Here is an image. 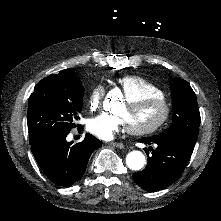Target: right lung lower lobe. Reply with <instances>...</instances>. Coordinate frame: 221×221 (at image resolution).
I'll use <instances>...</instances> for the list:
<instances>
[{
    "label": "right lung lower lobe",
    "instance_id": "98d812e1",
    "mask_svg": "<svg viewBox=\"0 0 221 221\" xmlns=\"http://www.w3.org/2000/svg\"><path fill=\"white\" fill-rule=\"evenodd\" d=\"M67 135L31 143L32 153L40 168L60 186H71L80 180L92 152L102 146L101 141L91 134H86L84 140L75 145L66 141Z\"/></svg>",
    "mask_w": 221,
    "mask_h": 221
}]
</instances>
